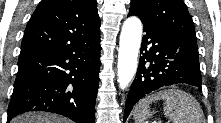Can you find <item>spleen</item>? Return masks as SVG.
I'll return each instance as SVG.
<instances>
[{
	"instance_id": "1",
	"label": "spleen",
	"mask_w": 221,
	"mask_h": 123,
	"mask_svg": "<svg viewBox=\"0 0 221 123\" xmlns=\"http://www.w3.org/2000/svg\"><path fill=\"white\" fill-rule=\"evenodd\" d=\"M163 100L164 114L172 123H205L199 102L189 93L178 89H166L143 98L135 107V123H145L149 116V105Z\"/></svg>"
}]
</instances>
